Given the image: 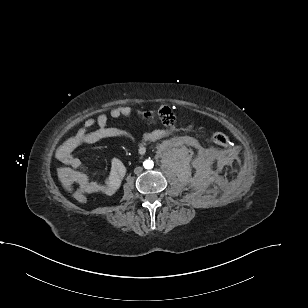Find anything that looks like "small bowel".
<instances>
[{"label":"small bowel","mask_w":308,"mask_h":308,"mask_svg":"<svg viewBox=\"0 0 308 308\" xmlns=\"http://www.w3.org/2000/svg\"><path fill=\"white\" fill-rule=\"evenodd\" d=\"M133 113L129 106L113 108L109 112L111 118L127 117ZM108 115L100 114L96 119H87L82 128L75 135L65 140L57 149L58 160L70 168L69 176L72 184L78 186L87 194L103 193L106 195L114 194L119 188L125 175L126 169L119 159H114L111 163L110 173L104 183L90 180L83 170L82 161L73 152L81 145L95 144L104 139L112 138H131L125 130L108 126ZM163 135L162 130H155L144 135L140 147L143 148L147 143L156 141Z\"/></svg>","instance_id":"c3829d8e"}]
</instances>
